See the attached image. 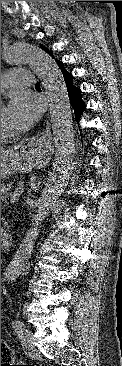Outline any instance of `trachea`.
Listing matches in <instances>:
<instances>
[{"label": "trachea", "instance_id": "trachea-1", "mask_svg": "<svg viewBox=\"0 0 122 366\" xmlns=\"http://www.w3.org/2000/svg\"><path fill=\"white\" fill-rule=\"evenodd\" d=\"M35 87L40 88V83H36Z\"/></svg>", "mask_w": 122, "mask_h": 366}]
</instances>
